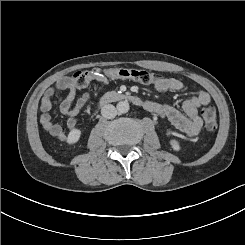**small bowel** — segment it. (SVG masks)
Listing matches in <instances>:
<instances>
[{
	"mask_svg": "<svg viewBox=\"0 0 245 245\" xmlns=\"http://www.w3.org/2000/svg\"><path fill=\"white\" fill-rule=\"evenodd\" d=\"M154 87L159 91H180L184 85L176 78H160L154 84ZM55 89L67 91L66 96L60 100L59 107L62 114L66 117V126L70 133H77L79 131L76 117L87 103L89 93H83L75 101L76 86L73 79L69 77L58 79L54 86L45 90L40 104V123L51 136L65 141L68 138V134L60 124L54 123L50 116ZM210 100V95L206 91H200L182 102L183 113L170 105L155 102H148L146 108L161 118L166 119L174 128L182 133L184 139H190L196 136L202 127V119L198 115V109L209 104ZM167 135H174L172 128L167 130Z\"/></svg>",
	"mask_w": 245,
	"mask_h": 245,
	"instance_id": "obj_1",
	"label": "small bowel"
}]
</instances>
